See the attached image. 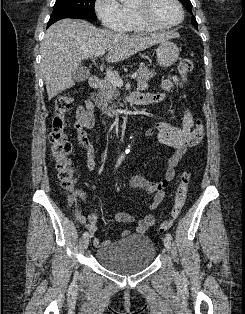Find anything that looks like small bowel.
<instances>
[{
    "instance_id": "1",
    "label": "small bowel",
    "mask_w": 245,
    "mask_h": 314,
    "mask_svg": "<svg viewBox=\"0 0 245 314\" xmlns=\"http://www.w3.org/2000/svg\"><path fill=\"white\" fill-rule=\"evenodd\" d=\"M174 85L184 87V83L176 76H169L161 82V88L164 92L169 91ZM140 89L144 99L139 103L149 105L162 102L166 95L164 92H147L148 84L140 83ZM186 97V96H185ZM77 121L75 123L76 139L79 147L85 152L87 167L90 170L96 168L95 150L91 144L87 130L95 125V118L92 112V104L86 102L80 105L76 111ZM204 130L199 119H196L191 110L186 108L183 114L182 127H174L167 122H158L153 128L146 131V136L156 137L162 144L168 145L173 149L172 154L166 162V170L163 177L159 181H149L142 175H135L128 181V187L137 189L144 195L155 194L153 202L148 206L149 210L155 209L165 199V188L173 180L175 169L186 153L188 148L197 145L202 139ZM114 221L118 223H134L136 218L126 212H116L112 215ZM156 223V217L152 214L145 215L137 222L135 232L138 235H143L150 227ZM98 216L90 214L87 218V228L92 236L97 230ZM130 234L129 230H123L120 233L121 237H126ZM109 243L98 238L94 239V245L100 246Z\"/></svg>"
}]
</instances>
